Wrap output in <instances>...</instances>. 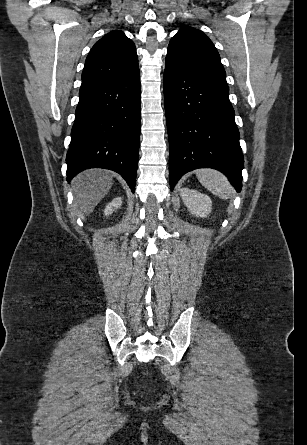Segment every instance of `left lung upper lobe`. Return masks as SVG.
Listing matches in <instances>:
<instances>
[{
    "mask_svg": "<svg viewBox=\"0 0 307 445\" xmlns=\"http://www.w3.org/2000/svg\"><path fill=\"white\" fill-rule=\"evenodd\" d=\"M166 58L197 78L229 90L220 56L202 31L182 26L170 40Z\"/></svg>",
    "mask_w": 307,
    "mask_h": 445,
    "instance_id": "1",
    "label": "left lung upper lobe"
}]
</instances>
